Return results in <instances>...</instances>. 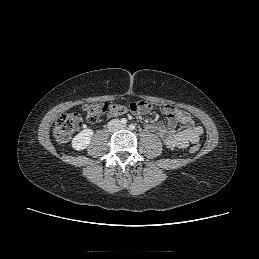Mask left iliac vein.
I'll list each match as a JSON object with an SVG mask.
<instances>
[{
    "label": "left iliac vein",
    "instance_id": "left-iliac-vein-1",
    "mask_svg": "<svg viewBox=\"0 0 259 259\" xmlns=\"http://www.w3.org/2000/svg\"><path fill=\"white\" fill-rule=\"evenodd\" d=\"M127 126L126 125H123L122 128H126Z\"/></svg>",
    "mask_w": 259,
    "mask_h": 259
}]
</instances>
